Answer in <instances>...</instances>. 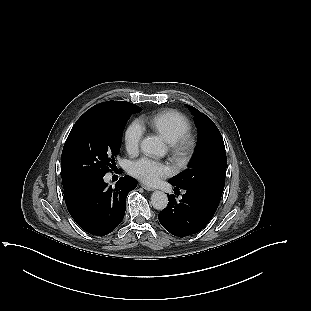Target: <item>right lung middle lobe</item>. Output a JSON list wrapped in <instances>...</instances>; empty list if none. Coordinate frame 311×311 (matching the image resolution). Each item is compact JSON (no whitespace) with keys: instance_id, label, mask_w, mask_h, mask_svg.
<instances>
[{"instance_id":"obj_1","label":"right lung middle lobe","mask_w":311,"mask_h":311,"mask_svg":"<svg viewBox=\"0 0 311 311\" xmlns=\"http://www.w3.org/2000/svg\"><path fill=\"white\" fill-rule=\"evenodd\" d=\"M141 111L121 101H108L86 111L75 123L65 142L61 173L63 188L114 171L124 126L132 113Z\"/></svg>"}]
</instances>
